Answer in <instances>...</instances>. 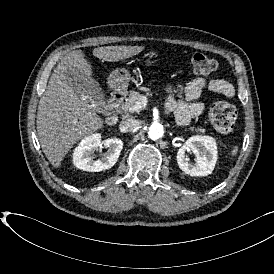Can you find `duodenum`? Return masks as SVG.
Returning <instances> with one entry per match:
<instances>
[{"mask_svg": "<svg viewBox=\"0 0 274 274\" xmlns=\"http://www.w3.org/2000/svg\"><path fill=\"white\" fill-rule=\"evenodd\" d=\"M124 95L119 92H114L110 95L108 100V107L112 110V113L109 116V123L115 125L119 120L118 111L123 102Z\"/></svg>", "mask_w": 274, "mask_h": 274, "instance_id": "410a0bca", "label": "duodenum"}]
</instances>
